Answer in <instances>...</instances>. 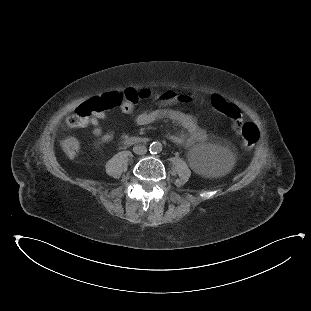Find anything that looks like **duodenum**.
Masks as SVG:
<instances>
[{
	"instance_id": "duodenum-1",
	"label": "duodenum",
	"mask_w": 311,
	"mask_h": 311,
	"mask_svg": "<svg viewBox=\"0 0 311 311\" xmlns=\"http://www.w3.org/2000/svg\"><path fill=\"white\" fill-rule=\"evenodd\" d=\"M129 141L135 142V143H143L144 140L139 139V138H126Z\"/></svg>"
}]
</instances>
